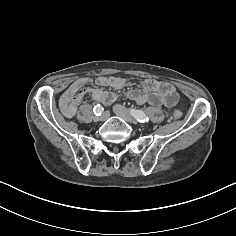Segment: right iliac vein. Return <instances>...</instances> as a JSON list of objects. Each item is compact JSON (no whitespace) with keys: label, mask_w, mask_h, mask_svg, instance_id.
Wrapping results in <instances>:
<instances>
[{"label":"right iliac vein","mask_w":236,"mask_h":236,"mask_svg":"<svg viewBox=\"0 0 236 236\" xmlns=\"http://www.w3.org/2000/svg\"><path fill=\"white\" fill-rule=\"evenodd\" d=\"M110 116V113L108 111H105L102 116L100 117V121H106Z\"/></svg>","instance_id":"right-iliac-vein-1"}]
</instances>
